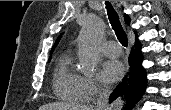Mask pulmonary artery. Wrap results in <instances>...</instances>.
I'll return each mask as SVG.
<instances>
[{"label":"pulmonary artery","instance_id":"e3ab8cb5","mask_svg":"<svg viewBox=\"0 0 171 110\" xmlns=\"http://www.w3.org/2000/svg\"><path fill=\"white\" fill-rule=\"evenodd\" d=\"M103 53L107 57L115 58L121 54V47L116 41L109 40L103 44Z\"/></svg>","mask_w":171,"mask_h":110}]
</instances>
